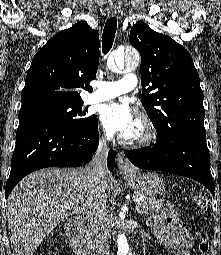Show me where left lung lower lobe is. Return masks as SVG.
<instances>
[{"instance_id": "1", "label": "left lung lower lobe", "mask_w": 221, "mask_h": 255, "mask_svg": "<svg viewBox=\"0 0 221 255\" xmlns=\"http://www.w3.org/2000/svg\"><path fill=\"white\" fill-rule=\"evenodd\" d=\"M125 155L139 168L192 178L214 195L206 135L185 133L173 140L157 138L153 147L127 150Z\"/></svg>"}]
</instances>
